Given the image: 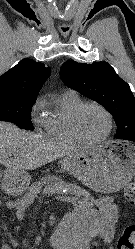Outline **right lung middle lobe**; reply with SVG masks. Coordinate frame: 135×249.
<instances>
[{"mask_svg": "<svg viewBox=\"0 0 135 249\" xmlns=\"http://www.w3.org/2000/svg\"><path fill=\"white\" fill-rule=\"evenodd\" d=\"M35 100L34 97L0 94V121L11 122L20 128L33 130L30 111Z\"/></svg>", "mask_w": 135, "mask_h": 249, "instance_id": "obj_1", "label": "right lung middle lobe"}]
</instances>
